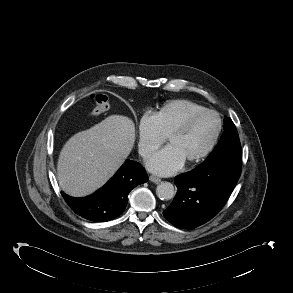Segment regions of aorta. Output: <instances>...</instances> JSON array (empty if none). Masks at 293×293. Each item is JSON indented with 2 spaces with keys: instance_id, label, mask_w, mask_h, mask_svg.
Listing matches in <instances>:
<instances>
[{
  "instance_id": "762f6f07",
  "label": "aorta",
  "mask_w": 293,
  "mask_h": 293,
  "mask_svg": "<svg viewBox=\"0 0 293 293\" xmlns=\"http://www.w3.org/2000/svg\"><path fill=\"white\" fill-rule=\"evenodd\" d=\"M156 194L161 200H170L175 195V188L170 182H162L157 186Z\"/></svg>"
}]
</instances>
